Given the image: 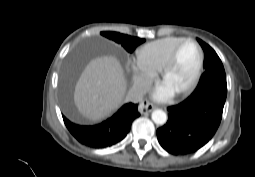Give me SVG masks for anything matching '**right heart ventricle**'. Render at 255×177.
<instances>
[{
  "label": "right heart ventricle",
  "instance_id": "1",
  "mask_svg": "<svg viewBox=\"0 0 255 177\" xmlns=\"http://www.w3.org/2000/svg\"><path fill=\"white\" fill-rule=\"evenodd\" d=\"M184 39L183 37H167L150 42L139 50L138 57L155 70H161L174 48Z\"/></svg>",
  "mask_w": 255,
  "mask_h": 177
}]
</instances>
